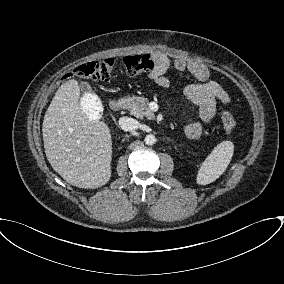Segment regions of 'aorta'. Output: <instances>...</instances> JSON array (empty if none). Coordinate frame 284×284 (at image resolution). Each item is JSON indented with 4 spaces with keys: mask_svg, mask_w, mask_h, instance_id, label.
Returning a JSON list of instances; mask_svg holds the SVG:
<instances>
[{
    "mask_svg": "<svg viewBox=\"0 0 284 284\" xmlns=\"http://www.w3.org/2000/svg\"><path fill=\"white\" fill-rule=\"evenodd\" d=\"M144 141L147 145H153L156 143V137L152 134H148L146 135Z\"/></svg>",
    "mask_w": 284,
    "mask_h": 284,
    "instance_id": "aorta-1",
    "label": "aorta"
}]
</instances>
